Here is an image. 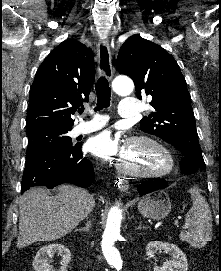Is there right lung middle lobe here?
<instances>
[{"instance_id": "dd1d6c3e", "label": "right lung middle lobe", "mask_w": 221, "mask_h": 271, "mask_svg": "<svg viewBox=\"0 0 221 271\" xmlns=\"http://www.w3.org/2000/svg\"><path fill=\"white\" fill-rule=\"evenodd\" d=\"M71 129L72 126L48 125L27 130L26 159L43 152L72 149L75 145L66 135Z\"/></svg>"}]
</instances>
